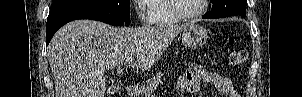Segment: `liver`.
<instances>
[{
    "label": "liver",
    "mask_w": 302,
    "mask_h": 97,
    "mask_svg": "<svg viewBox=\"0 0 302 97\" xmlns=\"http://www.w3.org/2000/svg\"><path fill=\"white\" fill-rule=\"evenodd\" d=\"M186 25L126 28L92 20L64 25L48 46L56 97H104L108 70L136 57L150 69Z\"/></svg>",
    "instance_id": "obj_1"
}]
</instances>
